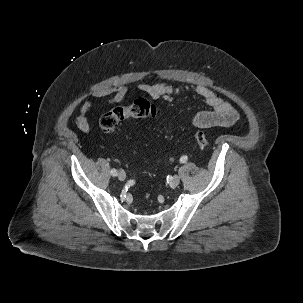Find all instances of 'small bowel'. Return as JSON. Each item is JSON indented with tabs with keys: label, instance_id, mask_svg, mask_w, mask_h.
I'll use <instances>...</instances> for the list:
<instances>
[{
	"label": "small bowel",
	"instance_id": "small-bowel-1",
	"mask_svg": "<svg viewBox=\"0 0 303 303\" xmlns=\"http://www.w3.org/2000/svg\"><path fill=\"white\" fill-rule=\"evenodd\" d=\"M139 89L152 97L153 99H163L171 102L175 96L192 92L204 99L206 104L211 107L210 110L198 112L192 118V124L196 127H230L238 121V113L232 105L221 98L212 89L197 85L193 87H173L165 82L141 84ZM127 94L125 85H116L112 88L100 90L95 93L94 97L97 101H105L108 104L119 103L124 100ZM95 101H86L79 110L75 120L76 127L81 132L89 130V122L87 115L94 107Z\"/></svg>",
	"mask_w": 303,
	"mask_h": 303
}]
</instances>
